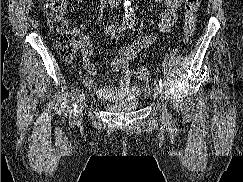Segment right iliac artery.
<instances>
[{"label": "right iliac artery", "mask_w": 243, "mask_h": 182, "mask_svg": "<svg viewBox=\"0 0 243 182\" xmlns=\"http://www.w3.org/2000/svg\"><path fill=\"white\" fill-rule=\"evenodd\" d=\"M127 28H129V24L123 23L121 25V27L119 28L118 33L125 31ZM80 92H81V90L77 87L75 89L74 96L72 98L73 103H72V108L70 110V117H69L71 126H73L76 123V117H75L76 112H77L76 106H77V103H78L79 98H80Z\"/></svg>", "instance_id": "82829eb1"}]
</instances>
